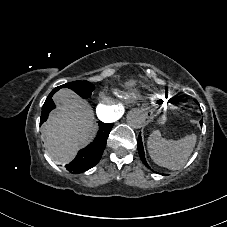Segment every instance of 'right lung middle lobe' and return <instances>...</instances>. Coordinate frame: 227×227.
<instances>
[{
    "label": "right lung middle lobe",
    "mask_w": 227,
    "mask_h": 227,
    "mask_svg": "<svg viewBox=\"0 0 227 227\" xmlns=\"http://www.w3.org/2000/svg\"><path fill=\"white\" fill-rule=\"evenodd\" d=\"M60 87H65L73 90L78 95H80L82 98H89L91 96L92 91L94 90L95 86L88 82V81H73L66 83L62 86L56 87L52 90V92L47 97L43 107L42 112H45L48 107L50 106V103L52 101L53 94L60 89Z\"/></svg>",
    "instance_id": "1"
}]
</instances>
